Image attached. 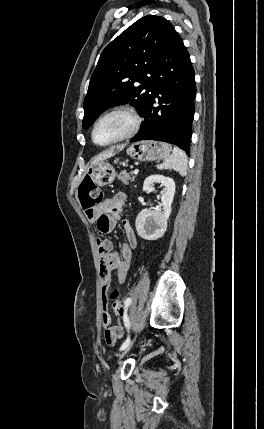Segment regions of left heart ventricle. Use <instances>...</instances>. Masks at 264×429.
Returning <instances> with one entry per match:
<instances>
[{"mask_svg":"<svg viewBox=\"0 0 264 429\" xmlns=\"http://www.w3.org/2000/svg\"><path fill=\"white\" fill-rule=\"evenodd\" d=\"M130 124V119L126 116H110L98 125L95 132V139L99 143L110 142L126 133Z\"/></svg>","mask_w":264,"mask_h":429,"instance_id":"1","label":"left heart ventricle"}]
</instances>
